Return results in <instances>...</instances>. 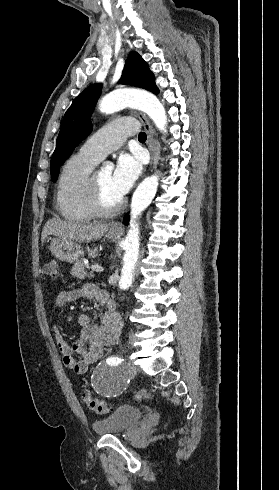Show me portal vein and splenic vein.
Returning a JSON list of instances; mask_svg holds the SVG:
<instances>
[{
  "label": "portal vein and splenic vein",
  "mask_w": 279,
  "mask_h": 490,
  "mask_svg": "<svg viewBox=\"0 0 279 490\" xmlns=\"http://www.w3.org/2000/svg\"><path fill=\"white\" fill-rule=\"evenodd\" d=\"M93 272H103V268L101 266H91Z\"/></svg>",
  "instance_id": "portal-vein-and-splenic-vein-1"
}]
</instances>
